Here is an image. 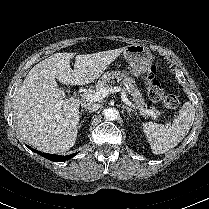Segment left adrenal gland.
<instances>
[{
	"label": "left adrenal gland",
	"mask_w": 209,
	"mask_h": 209,
	"mask_svg": "<svg viewBox=\"0 0 209 209\" xmlns=\"http://www.w3.org/2000/svg\"><path fill=\"white\" fill-rule=\"evenodd\" d=\"M122 108L126 109L129 114L131 113V111H134L132 108L125 106V105H123Z\"/></svg>",
	"instance_id": "a2214340"
}]
</instances>
